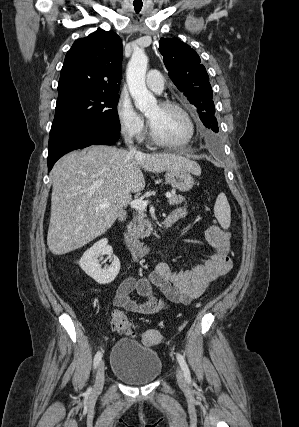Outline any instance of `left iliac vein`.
<instances>
[{
	"label": "left iliac vein",
	"mask_w": 299,
	"mask_h": 427,
	"mask_svg": "<svg viewBox=\"0 0 299 427\" xmlns=\"http://www.w3.org/2000/svg\"><path fill=\"white\" fill-rule=\"evenodd\" d=\"M176 378H177V381L179 384L185 383V378H184L183 372L179 368L176 369Z\"/></svg>",
	"instance_id": "obj_1"
}]
</instances>
